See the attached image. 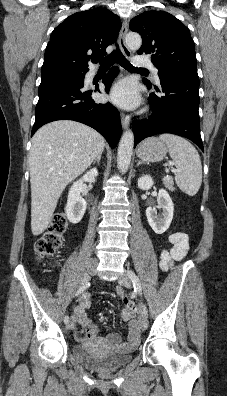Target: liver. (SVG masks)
I'll list each match as a JSON object with an SVG mask.
<instances>
[{
  "mask_svg": "<svg viewBox=\"0 0 227 396\" xmlns=\"http://www.w3.org/2000/svg\"><path fill=\"white\" fill-rule=\"evenodd\" d=\"M104 146L98 132L71 120L48 123L34 134L29 156L33 235L46 230L65 187L91 165Z\"/></svg>",
  "mask_w": 227,
  "mask_h": 396,
  "instance_id": "obj_1",
  "label": "liver"
}]
</instances>
